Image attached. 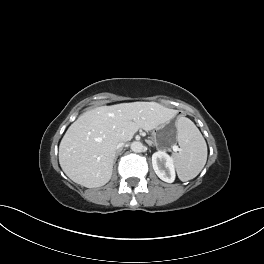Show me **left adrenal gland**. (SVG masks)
Here are the masks:
<instances>
[{
  "label": "left adrenal gland",
  "mask_w": 264,
  "mask_h": 264,
  "mask_svg": "<svg viewBox=\"0 0 264 264\" xmlns=\"http://www.w3.org/2000/svg\"><path fill=\"white\" fill-rule=\"evenodd\" d=\"M149 146H155V144L152 141H148Z\"/></svg>",
  "instance_id": "1"
}]
</instances>
